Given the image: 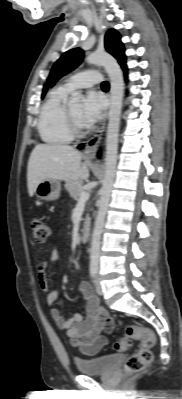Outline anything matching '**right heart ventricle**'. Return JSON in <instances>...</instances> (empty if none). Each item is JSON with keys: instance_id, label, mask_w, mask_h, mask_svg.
Returning <instances> with one entry per match:
<instances>
[{"instance_id": "obj_1", "label": "right heart ventricle", "mask_w": 182, "mask_h": 399, "mask_svg": "<svg viewBox=\"0 0 182 399\" xmlns=\"http://www.w3.org/2000/svg\"><path fill=\"white\" fill-rule=\"evenodd\" d=\"M69 91L62 86L52 90L44 101L38 120L41 139L49 144L69 143L71 135L66 118V98Z\"/></svg>"}]
</instances>
